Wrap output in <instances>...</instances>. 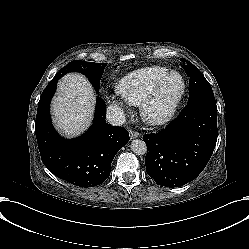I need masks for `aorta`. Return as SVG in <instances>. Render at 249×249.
I'll list each match as a JSON object with an SVG mask.
<instances>
[{"label": "aorta", "mask_w": 249, "mask_h": 249, "mask_svg": "<svg viewBox=\"0 0 249 249\" xmlns=\"http://www.w3.org/2000/svg\"><path fill=\"white\" fill-rule=\"evenodd\" d=\"M130 148H131V151L138 156H143L147 152L146 143L140 139L133 140L131 142Z\"/></svg>", "instance_id": "1"}]
</instances>
